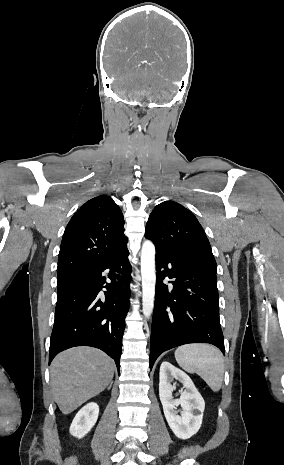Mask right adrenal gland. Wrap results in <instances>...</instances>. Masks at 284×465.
<instances>
[{
    "mask_svg": "<svg viewBox=\"0 0 284 465\" xmlns=\"http://www.w3.org/2000/svg\"><path fill=\"white\" fill-rule=\"evenodd\" d=\"M112 385H113V383H111V385H110V389H111Z\"/></svg>",
    "mask_w": 284,
    "mask_h": 465,
    "instance_id": "2a0ac1e0",
    "label": "right adrenal gland"
}]
</instances>
